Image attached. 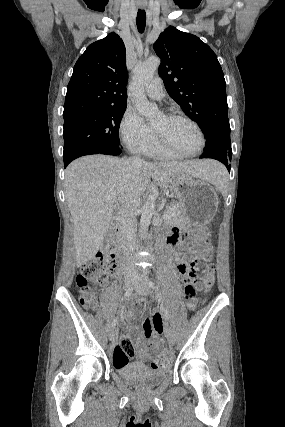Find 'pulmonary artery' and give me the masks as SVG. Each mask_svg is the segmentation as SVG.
<instances>
[{
  "label": "pulmonary artery",
  "mask_w": 285,
  "mask_h": 427,
  "mask_svg": "<svg viewBox=\"0 0 285 427\" xmlns=\"http://www.w3.org/2000/svg\"><path fill=\"white\" fill-rule=\"evenodd\" d=\"M147 96L154 100H162L165 96L162 80L159 77L153 78L145 87Z\"/></svg>",
  "instance_id": "pulmonary-artery-1"
}]
</instances>
